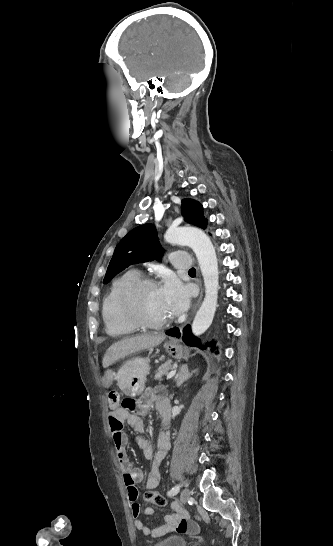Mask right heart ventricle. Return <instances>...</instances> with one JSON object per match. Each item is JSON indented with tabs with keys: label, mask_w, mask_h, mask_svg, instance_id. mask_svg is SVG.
Listing matches in <instances>:
<instances>
[{
	"label": "right heart ventricle",
	"mask_w": 333,
	"mask_h": 546,
	"mask_svg": "<svg viewBox=\"0 0 333 546\" xmlns=\"http://www.w3.org/2000/svg\"><path fill=\"white\" fill-rule=\"evenodd\" d=\"M139 278V273L134 270L123 273L111 283L103 299L102 318L106 332L112 337L129 335L137 328L123 315L120 308V297L123 290Z\"/></svg>",
	"instance_id": "obj_1"
}]
</instances>
